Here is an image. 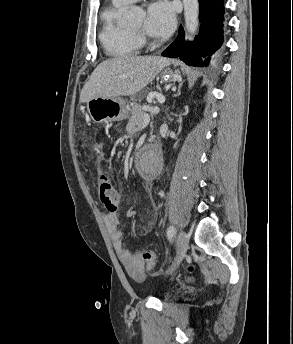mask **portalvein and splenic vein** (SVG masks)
Returning <instances> with one entry per match:
<instances>
[{"mask_svg":"<svg viewBox=\"0 0 293 344\" xmlns=\"http://www.w3.org/2000/svg\"><path fill=\"white\" fill-rule=\"evenodd\" d=\"M149 121H150V116L148 114H144L143 124L147 125Z\"/></svg>","mask_w":293,"mask_h":344,"instance_id":"18ae733b","label":"portal vein and splenic vein"}]
</instances>
